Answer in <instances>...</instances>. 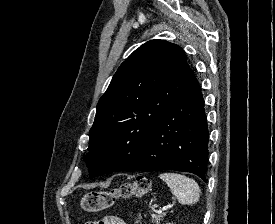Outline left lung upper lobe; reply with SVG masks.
<instances>
[{
  "instance_id": "5c2ea615",
  "label": "left lung upper lobe",
  "mask_w": 275,
  "mask_h": 224,
  "mask_svg": "<svg viewBox=\"0 0 275 224\" xmlns=\"http://www.w3.org/2000/svg\"><path fill=\"white\" fill-rule=\"evenodd\" d=\"M194 77L176 44L150 40L136 49L97 104L85 158L91 174L128 170L154 125Z\"/></svg>"
}]
</instances>
